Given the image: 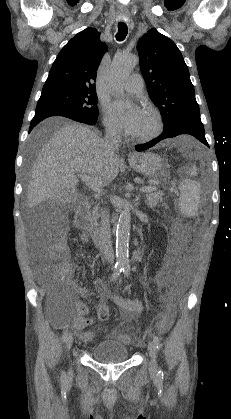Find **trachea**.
<instances>
[{"label":"trachea","instance_id":"1","mask_svg":"<svg viewBox=\"0 0 231 419\" xmlns=\"http://www.w3.org/2000/svg\"><path fill=\"white\" fill-rule=\"evenodd\" d=\"M128 28L123 22L118 23V33L116 34L117 41H123L127 35Z\"/></svg>","mask_w":231,"mask_h":419}]
</instances>
